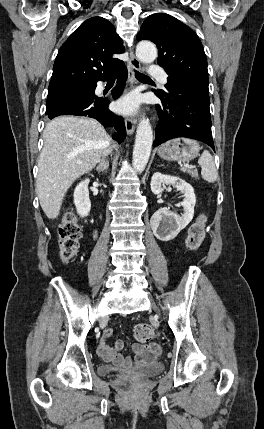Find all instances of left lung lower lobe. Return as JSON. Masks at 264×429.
<instances>
[{"instance_id":"0a47b994","label":"left lung lower lobe","mask_w":264,"mask_h":429,"mask_svg":"<svg viewBox=\"0 0 264 429\" xmlns=\"http://www.w3.org/2000/svg\"><path fill=\"white\" fill-rule=\"evenodd\" d=\"M167 96L155 92L161 99L157 104L160 122L153 146L172 138L187 137L207 143L213 150L209 93L186 83L170 82Z\"/></svg>"}]
</instances>
